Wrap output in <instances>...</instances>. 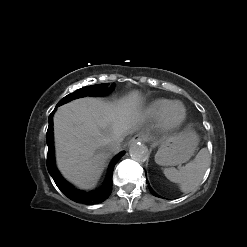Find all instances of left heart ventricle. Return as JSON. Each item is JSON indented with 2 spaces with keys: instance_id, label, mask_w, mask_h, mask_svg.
<instances>
[{
  "instance_id": "1",
  "label": "left heart ventricle",
  "mask_w": 247,
  "mask_h": 247,
  "mask_svg": "<svg viewBox=\"0 0 247 247\" xmlns=\"http://www.w3.org/2000/svg\"><path fill=\"white\" fill-rule=\"evenodd\" d=\"M171 115L173 118H178L181 115V108L180 107L174 108Z\"/></svg>"
}]
</instances>
